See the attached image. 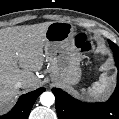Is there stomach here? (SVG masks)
<instances>
[{
	"instance_id": "1",
	"label": "stomach",
	"mask_w": 119,
	"mask_h": 119,
	"mask_svg": "<svg viewBox=\"0 0 119 119\" xmlns=\"http://www.w3.org/2000/svg\"><path fill=\"white\" fill-rule=\"evenodd\" d=\"M44 48L52 79L65 85L77 84L81 78V54L71 23L52 22L45 34Z\"/></svg>"
}]
</instances>
